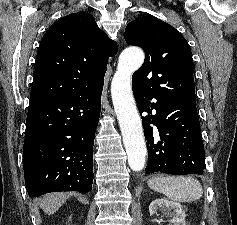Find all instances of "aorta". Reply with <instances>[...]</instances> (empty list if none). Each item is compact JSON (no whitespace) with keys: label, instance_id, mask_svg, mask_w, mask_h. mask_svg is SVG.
<instances>
[{"label":"aorta","instance_id":"aorta-1","mask_svg":"<svg viewBox=\"0 0 237 225\" xmlns=\"http://www.w3.org/2000/svg\"><path fill=\"white\" fill-rule=\"evenodd\" d=\"M144 62L139 48L125 49L119 56L117 71L111 83V96L123 137L129 167L141 171L145 167L146 144L142 122L132 94V74Z\"/></svg>","mask_w":237,"mask_h":225}]
</instances>
